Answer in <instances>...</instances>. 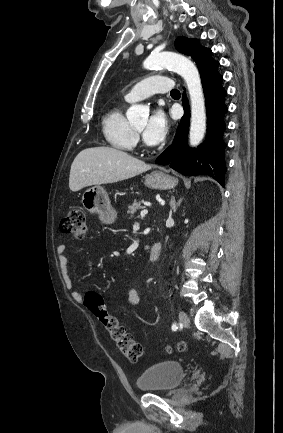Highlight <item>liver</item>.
I'll list each match as a JSON object with an SVG mask.
<instances>
[{"instance_id": "liver-1", "label": "liver", "mask_w": 283, "mask_h": 433, "mask_svg": "<svg viewBox=\"0 0 283 433\" xmlns=\"http://www.w3.org/2000/svg\"><path fill=\"white\" fill-rule=\"evenodd\" d=\"M151 164H145L123 150L110 146L84 148L75 156L69 174V188L80 190L90 184H105L131 178L149 170Z\"/></svg>"}]
</instances>
